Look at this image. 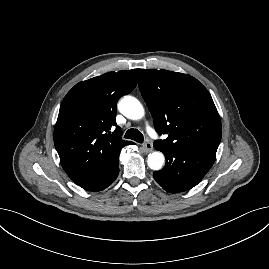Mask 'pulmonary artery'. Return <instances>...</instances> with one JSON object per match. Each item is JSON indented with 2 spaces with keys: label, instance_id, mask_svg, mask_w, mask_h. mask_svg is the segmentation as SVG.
<instances>
[{
  "label": "pulmonary artery",
  "instance_id": "obj_1",
  "mask_svg": "<svg viewBox=\"0 0 269 269\" xmlns=\"http://www.w3.org/2000/svg\"><path fill=\"white\" fill-rule=\"evenodd\" d=\"M148 131H149V133H150L151 135H154V132H153L152 129L148 128Z\"/></svg>",
  "mask_w": 269,
  "mask_h": 269
}]
</instances>
